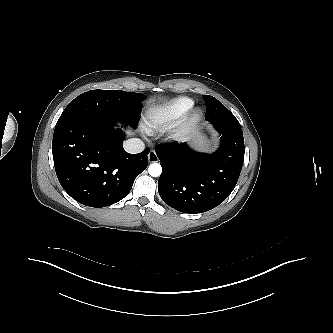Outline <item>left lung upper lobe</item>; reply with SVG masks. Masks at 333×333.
<instances>
[{
	"label": "left lung upper lobe",
	"mask_w": 333,
	"mask_h": 333,
	"mask_svg": "<svg viewBox=\"0 0 333 333\" xmlns=\"http://www.w3.org/2000/svg\"><path fill=\"white\" fill-rule=\"evenodd\" d=\"M206 102V120L210 122L239 124L235 116L223 106L216 98L203 95Z\"/></svg>",
	"instance_id": "obj_1"
}]
</instances>
